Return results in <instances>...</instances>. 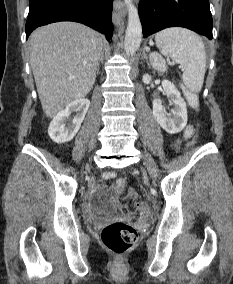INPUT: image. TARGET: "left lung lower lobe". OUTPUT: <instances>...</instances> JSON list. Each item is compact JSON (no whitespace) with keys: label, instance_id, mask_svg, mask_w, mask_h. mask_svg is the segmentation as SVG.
Segmentation results:
<instances>
[{"label":"left lung lower lobe","instance_id":"left-lung-lower-lobe-1","mask_svg":"<svg viewBox=\"0 0 233 284\" xmlns=\"http://www.w3.org/2000/svg\"><path fill=\"white\" fill-rule=\"evenodd\" d=\"M138 12L143 37L168 27H184L212 39L209 0H140Z\"/></svg>","mask_w":233,"mask_h":284}]
</instances>
